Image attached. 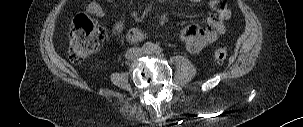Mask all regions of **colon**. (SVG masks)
<instances>
[{
  "label": "colon",
  "instance_id": "obj_1",
  "mask_svg": "<svg viewBox=\"0 0 303 127\" xmlns=\"http://www.w3.org/2000/svg\"><path fill=\"white\" fill-rule=\"evenodd\" d=\"M104 40V35L97 23L87 14L79 13L72 21L69 45L70 59L78 63L95 53ZM213 56L217 61L225 60L227 52L224 48H216Z\"/></svg>",
  "mask_w": 303,
  "mask_h": 127
}]
</instances>
